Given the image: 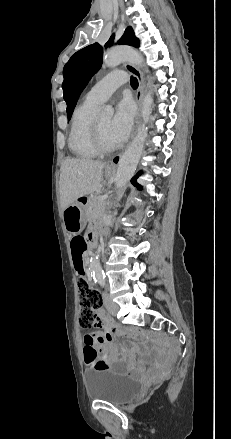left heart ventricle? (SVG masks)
Instances as JSON below:
<instances>
[{
    "instance_id": "left-heart-ventricle-1",
    "label": "left heart ventricle",
    "mask_w": 231,
    "mask_h": 439,
    "mask_svg": "<svg viewBox=\"0 0 231 439\" xmlns=\"http://www.w3.org/2000/svg\"><path fill=\"white\" fill-rule=\"evenodd\" d=\"M100 131L102 134V138L104 142L109 146H114L115 143L113 142L111 135H110V123H111V117L109 116H102L97 118Z\"/></svg>"
}]
</instances>
